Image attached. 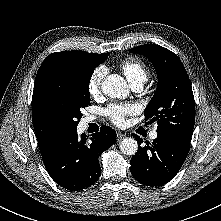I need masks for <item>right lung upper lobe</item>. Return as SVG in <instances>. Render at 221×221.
I'll return each instance as SVG.
<instances>
[{"label": "right lung upper lobe", "instance_id": "right-lung-upper-lobe-1", "mask_svg": "<svg viewBox=\"0 0 221 221\" xmlns=\"http://www.w3.org/2000/svg\"><path fill=\"white\" fill-rule=\"evenodd\" d=\"M102 54L88 53L84 51H61L50 54L42 62L35 79H38L50 68L78 59L94 60ZM33 126L40 152L47 151L61 136L67 134L68 130L63 128L57 121L49 117L42 108L37 95L33 92Z\"/></svg>", "mask_w": 221, "mask_h": 221}]
</instances>
